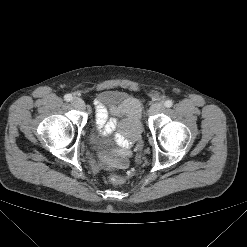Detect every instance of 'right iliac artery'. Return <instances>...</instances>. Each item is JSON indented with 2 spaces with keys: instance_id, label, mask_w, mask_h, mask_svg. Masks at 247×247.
<instances>
[{
  "instance_id": "1",
  "label": "right iliac artery",
  "mask_w": 247,
  "mask_h": 247,
  "mask_svg": "<svg viewBox=\"0 0 247 247\" xmlns=\"http://www.w3.org/2000/svg\"><path fill=\"white\" fill-rule=\"evenodd\" d=\"M72 95L71 94H66L65 96H64V99L66 100V101H71L72 100Z\"/></svg>"
}]
</instances>
